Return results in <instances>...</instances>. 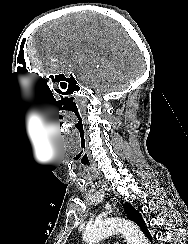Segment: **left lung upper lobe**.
I'll return each mask as SVG.
<instances>
[{
	"instance_id": "left-lung-upper-lobe-1",
	"label": "left lung upper lobe",
	"mask_w": 188,
	"mask_h": 244,
	"mask_svg": "<svg viewBox=\"0 0 188 244\" xmlns=\"http://www.w3.org/2000/svg\"><path fill=\"white\" fill-rule=\"evenodd\" d=\"M123 208H124L127 218L138 224L142 218L140 213L137 210H135V208L129 203H125L123 205Z\"/></svg>"
}]
</instances>
